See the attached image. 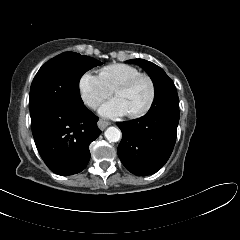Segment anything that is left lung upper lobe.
<instances>
[{
	"label": "left lung upper lobe",
	"instance_id": "left-lung-upper-lobe-1",
	"mask_svg": "<svg viewBox=\"0 0 240 240\" xmlns=\"http://www.w3.org/2000/svg\"><path fill=\"white\" fill-rule=\"evenodd\" d=\"M129 62L141 66L153 81L155 97L150 110L160 106L179 107L176 87L162 68L143 59H133Z\"/></svg>",
	"mask_w": 240,
	"mask_h": 240
}]
</instances>
